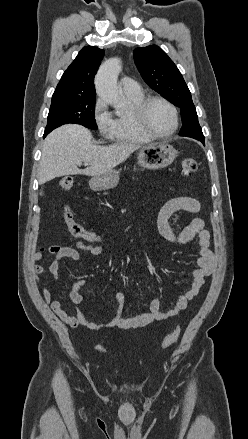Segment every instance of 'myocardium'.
Returning a JSON list of instances; mask_svg holds the SVG:
<instances>
[{
	"instance_id": "f54148a6",
	"label": "myocardium",
	"mask_w": 248,
	"mask_h": 439,
	"mask_svg": "<svg viewBox=\"0 0 248 439\" xmlns=\"http://www.w3.org/2000/svg\"><path fill=\"white\" fill-rule=\"evenodd\" d=\"M155 101H159L164 103L165 105H167L173 115V120H174V124H173V128L171 129L170 132L166 133V134H158L156 132H154L148 125L147 123V119H146V113H147V108L148 106ZM135 118H136V122L139 125V127L141 128V130L146 133L147 135H149L152 138L155 139H167L169 137H171L178 129L179 126V115H178V111L177 108L175 107V105L170 102L168 99L161 97V96H147L144 97L136 106L135 108Z\"/></svg>"
}]
</instances>
